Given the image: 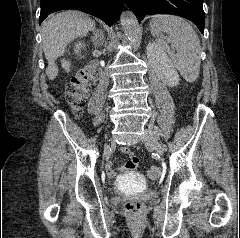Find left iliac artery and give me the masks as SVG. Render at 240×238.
<instances>
[{
    "mask_svg": "<svg viewBox=\"0 0 240 238\" xmlns=\"http://www.w3.org/2000/svg\"><path fill=\"white\" fill-rule=\"evenodd\" d=\"M166 132H162L161 129H158L157 130V136H158V144L159 146H162L163 148L165 147V145L167 146V142H168V139L166 138Z\"/></svg>",
    "mask_w": 240,
    "mask_h": 238,
    "instance_id": "1",
    "label": "left iliac artery"
}]
</instances>
